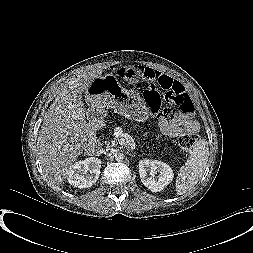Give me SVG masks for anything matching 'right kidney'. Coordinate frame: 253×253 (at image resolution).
Listing matches in <instances>:
<instances>
[{"label": "right kidney", "instance_id": "right-kidney-1", "mask_svg": "<svg viewBox=\"0 0 253 253\" xmlns=\"http://www.w3.org/2000/svg\"><path fill=\"white\" fill-rule=\"evenodd\" d=\"M101 160L89 157L75 162L67 171L68 182L77 188L91 187L99 178Z\"/></svg>", "mask_w": 253, "mask_h": 253}]
</instances>
